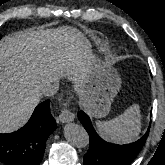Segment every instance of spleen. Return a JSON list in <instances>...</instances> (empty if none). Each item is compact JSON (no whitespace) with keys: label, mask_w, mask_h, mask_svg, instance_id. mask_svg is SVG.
I'll use <instances>...</instances> for the list:
<instances>
[{"label":"spleen","mask_w":165,"mask_h":165,"mask_svg":"<svg viewBox=\"0 0 165 165\" xmlns=\"http://www.w3.org/2000/svg\"><path fill=\"white\" fill-rule=\"evenodd\" d=\"M96 127L100 134L109 141L129 143L141 132V115L139 106L134 104L121 115L109 121H98Z\"/></svg>","instance_id":"1"}]
</instances>
